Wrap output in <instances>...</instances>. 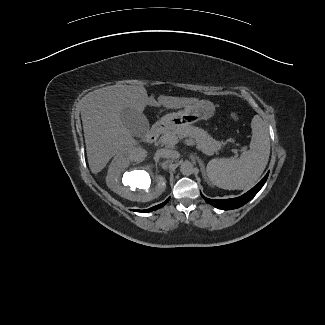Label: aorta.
I'll return each mask as SVG.
<instances>
[{
    "mask_svg": "<svg viewBox=\"0 0 325 325\" xmlns=\"http://www.w3.org/2000/svg\"><path fill=\"white\" fill-rule=\"evenodd\" d=\"M180 171L183 175L189 176L193 173V165L189 161H185L180 166Z\"/></svg>",
    "mask_w": 325,
    "mask_h": 325,
    "instance_id": "aorta-1",
    "label": "aorta"
}]
</instances>
